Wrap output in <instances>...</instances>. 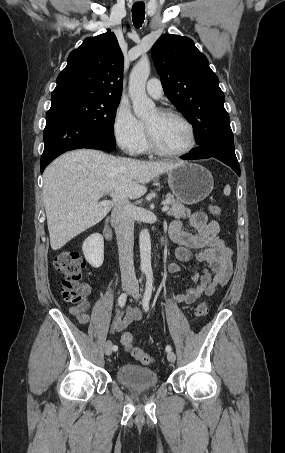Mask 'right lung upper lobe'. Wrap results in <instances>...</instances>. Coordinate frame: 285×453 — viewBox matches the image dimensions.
<instances>
[{
  "label": "right lung upper lobe",
  "mask_w": 285,
  "mask_h": 453,
  "mask_svg": "<svg viewBox=\"0 0 285 453\" xmlns=\"http://www.w3.org/2000/svg\"><path fill=\"white\" fill-rule=\"evenodd\" d=\"M57 77L52 100L69 95L121 98L123 55L114 33L86 38Z\"/></svg>",
  "instance_id": "1"
}]
</instances>
